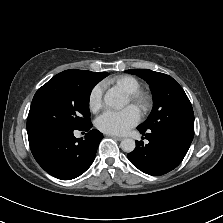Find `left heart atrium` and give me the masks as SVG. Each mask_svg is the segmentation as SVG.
I'll use <instances>...</instances> for the list:
<instances>
[{"mask_svg":"<svg viewBox=\"0 0 223 223\" xmlns=\"http://www.w3.org/2000/svg\"><path fill=\"white\" fill-rule=\"evenodd\" d=\"M140 120L139 110L129 105L122 110H106L96 120L97 127L106 133L124 134Z\"/></svg>","mask_w":223,"mask_h":223,"instance_id":"obj_1","label":"left heart atrium"}]
</instances>
